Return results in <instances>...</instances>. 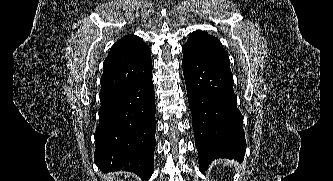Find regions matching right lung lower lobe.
I'll use <instances>...</instances> for the list:
<instances>
[{"label":"right lung lower lobe","instance_id":"98d812e1","mask_svg":"<svg viewBox=\"0 0 333 181\" xmlns=\"http://www.w3.org/2000/svg\"><path fill=\"white\" fill-rule=\"evenodd\" d=\"M100 101L95 164L103 172L122 169L147 181L154 169L156 132L152 74Z\"/></svg>","mask_w":333,"mask_h":181}]
</instances>
